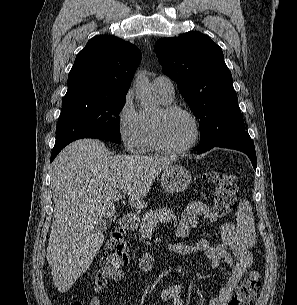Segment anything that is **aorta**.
<instances>
[{
  "instance_id": "762f6f07",
  "label": "aorta",
  "mask_w": 297,
  "mask_h": 305,
  "mask_svg": "<svg viewBox=\"0 0 297 305\" xmlns=\"http://www.w3.org/2000/svg\"><path fill=\"white\" fill-rule=\"evenodd\" d=\"M136 97L140 101V105L145 110H151L155 107L151 87L145 72L140 71L137 73L135 81Z\"/></svg>"
}]
</instances>
